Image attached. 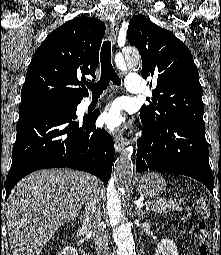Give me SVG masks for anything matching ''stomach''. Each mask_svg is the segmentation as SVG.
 <instances>
[{"instance_id": "stomach-1", "label": "stomach", "mask_w": 221, "mask_h": 255, "mask_svg": "<svg viewBox=\"0 0 221 255\" xmlns=\"http://www.w3.org/2000/svg\"><path fill=\"white\" fill-rule=\"evenodd\" d=\"M133 184L140 195L149 197L160 195L166 187L163 177L154 172L136 178Z\"/></svg>"}]
</instances>
